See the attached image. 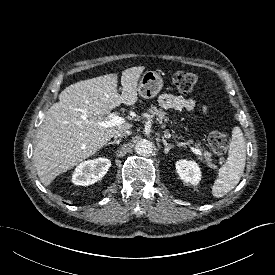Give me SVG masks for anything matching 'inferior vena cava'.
Listing matches in <instances>:
<instances>
[{
    "mask_svg": "<svg viewBox=\"0 0 275 275\" xmlns=\"http://www.w3.org/2000/svg\"><path fill=\"white\" fill-rule=\"evenodd\" d=\"M132 132L131 130L129 129H124V130H121L119 131L117 134H115V138H119V137H125L127 135H130Z\"/></svg>",
    "mask_w": 275,
    "mask_h": 275,
    "instance_id": "obj_1",
    "label": "inferior vena cava"
}]
</instances>
